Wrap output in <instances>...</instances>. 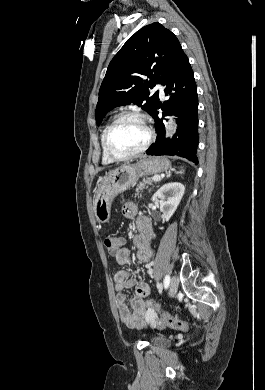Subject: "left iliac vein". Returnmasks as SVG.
<instances>
[{
    "label": "left iliac vein",
    "mask_w": 265,
    "mask_h": 390,
    "mask_svg": "<svg viewBox=\"0 0 265 390\" xmlns=\"http://www.w3.org/2000/svg\"><path fill=\"white\" fill-rule=\"evenodd\" d=\"M178 290V279L177 277L173 276L170 280V285H169V295L171 297L175 296Z\"/></svg>",
    "instance_id": "1"
}]
</instances>
